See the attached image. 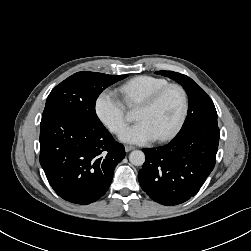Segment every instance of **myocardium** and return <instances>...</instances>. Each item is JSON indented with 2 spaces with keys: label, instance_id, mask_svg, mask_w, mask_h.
Returning a JSON list of instances; mask_svg holds the SVG:
<instances>
[{
  "label": "myocardium",
  "instance_id": "obj_1",
  "mask_svg": "<svg viewBox=\"0 0 251 251\" xmlns=\"http://www.w3.org/2000/svg\"><path fill=\"white\" fill-rule=\"evenodd\" d=\"M171 89H175L180 93L181 100H182L181 112L176 123L172 126V128L168 130L166 133L156 137L155 140L159 142L167 141L173 138L181 129L182 125L184 124L187 113H188V107H189V100H188V95H187L186 90L180 84L168 83L167 85L155 91L153 94H151L149 97H147L145 100H143L139 104V106H142L145 108H151L155 106L162 99V97Z\"/></svg>",
  "mask_w": 251,
  "mask_h": 251
}]
</instances>
